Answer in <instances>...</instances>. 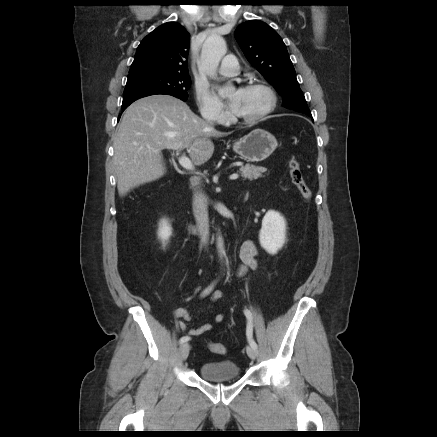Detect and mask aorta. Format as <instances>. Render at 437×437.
<instances>
[{
  "mask_svg": "<svg viewBox=\"0 0 437 437\" xmlns=\"http://www.w3.org/2000/svg\"><path fill=\"white\" fill-rule=\"evenodd\" d=\"M226 51L227 47L223 37L219 35L208 37L202 46L200 62L198 64L199 71L211 77L216 76V70ZM232 89V86H228L219 95L225 97ZM217 249L220 257H223L225 255L224 241L220 235L217 237Z\"/></svg>",
  "mask_w": 437,
  "mask_h": 437,
  "instance_id": "obj_1",
  "label": "aorta"
}]
</instances>
